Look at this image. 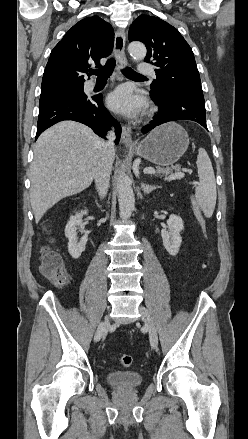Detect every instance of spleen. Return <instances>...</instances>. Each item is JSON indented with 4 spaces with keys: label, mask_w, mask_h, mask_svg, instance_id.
Masks as SVG:
<instances>
[{
    "label": "spleen",
    "mask_w": 248,
    "mask_h": 439,
    "mask_svg": "<svg viewBox=\"0 0 248 439\" xmlns=\"http://www.w3.org/2000/svg\"><path fill=\"white\" fill-rule=\"evenodd\" d=\"M199 185L195 198L206 217H211L216 205V182L212 163L205 149L199 148L197 156Z\"/></svg>",
    "instance_id": "1"
}]
</instances>
